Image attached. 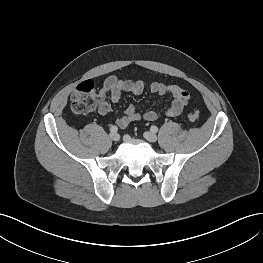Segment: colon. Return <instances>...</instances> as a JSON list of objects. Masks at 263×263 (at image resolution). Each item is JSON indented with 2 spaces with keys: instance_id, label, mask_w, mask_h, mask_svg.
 Segmentation results:
<instances>
[{
  "instance_id": "obj_1",
  "label": "colon",
  "mask_w": 263,
  "mask_h": 263,
  "mask_svg": "<svg viewBox=\"0 0 263 263\" xmlns=\"http://www.w3.org/2000/svg\"><path fill=\"white\" fill-rule=\"evenodd\" d=\"M99 97V88L91 81L87 80L80 83L73 91L70 98V108L74 114H83L93 109ZM189 119L196 121L199 112L194 110L189 113Z\"/></svg>"
}]
</instances>
